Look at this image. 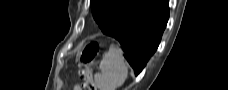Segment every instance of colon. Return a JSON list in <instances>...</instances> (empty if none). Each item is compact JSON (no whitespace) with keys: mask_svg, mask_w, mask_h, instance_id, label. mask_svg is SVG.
<instances>
[{"mask_svg":"<svg viewBox=\"0 0 228 90\" xmlns=\"http://www.w3.org/2000/svg\"><path fill=\"white\" fill-rule=\"evenodd\" d=\"M99 50V43L92 41L89 42L77 55V60L86 65L87 68L81 72V77L83 79L82 87L79 85H74L73 90H97L89 66L94 63L96 57L98 56Z\"/></svg>","mask_w":228,"mask_h":90,"instance_id":"colon-1","label":"colon"}]
</instances>
